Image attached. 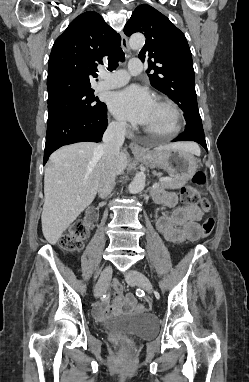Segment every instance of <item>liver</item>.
Segmentation results:
<instances>
[{
  "instance_id": "liver-1",
  "label": "liver",
  "mask_w": 249,
  "mask_h": 382,
  "mask_svg": "<svg viewBox=\"0 0 249 382\" xmlns=\"http://www.w3.org/2000/svg\"><path fill=\"white\" fill-rule=\"evenodd\" d=\"M100 146L93 142L75 143L59 148L50 157L44 174L45 202L41 222L43 235L52 245L95 199L104 162ZM164 148H181L200 154L194 143H172ZM128 162V154L121 152L118 174L124 172Z\"/></svg>"
}]
</instances>
